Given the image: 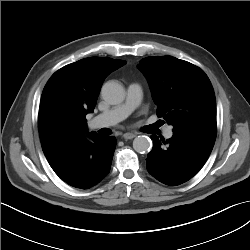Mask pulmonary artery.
Masks as SVG:
<instances>
[{"instance_id": "e3ab8cb5", "label": "pulmonary artery", "mask_w": 250, "mask_h": 250, "mask_svg": "<svg viewBox=\"0 0 250 250\" xmlns=\"http://www.w3.org/2000/svg\"><path fill=\"white\" fill-rule=\"evenodd\" d=\"M143 90L140 84L131 83L127 87V94L124 103L113 107L97 116L90 121L92 128H103L113 126L125 118L141 103ZM173 131L167 127L164 131L166 138H171Z\"/></svg>"}]
</instances>
